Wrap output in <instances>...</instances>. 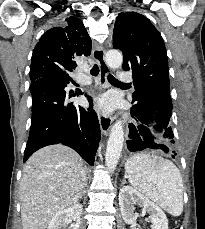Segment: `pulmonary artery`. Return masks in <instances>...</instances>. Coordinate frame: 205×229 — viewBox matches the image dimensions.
Returning a JSON list of instances; mask_svg holds the SVG:
<instances>
[{
    "label": "pulmonary artery",
    "instance_id": "pulmonary-artery-1",
    "mask_svg": "<svg viewBox=\"0 0 205 229\" xmlns=\"http://www.w3.org/2000/svg\"><path fill=\"white\" fill-rule=\"evenodd\" d=\"M118 79L123 84H130L133 81L131 74L125 71L119 72ZM79 82L83 85H86L89 84L91 81L89 78H80Z\"/></svg>",
    "mask_w": 205,
    "mask_h": 229
}]
</instances>
